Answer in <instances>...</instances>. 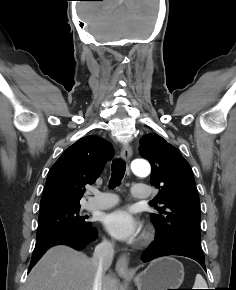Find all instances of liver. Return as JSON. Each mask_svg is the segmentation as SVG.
I'll list each match as a JSON object with an SVG mask.
<instances>
[{
	"mask_svg": "<svg viewBox=\"0 0 236 290\" xmlns=\"http://www.w3.org/2000/svg\"><path fill=\"white\" fill-rule=\"evenodd\" d=\"M96 267L82 252L65 245L50 248L31 270L24 290H93ZM102 290H118L117 280L103 276Z\"/></svg>",
	"mask_w": 236,
	"mask_h": 290,
	"instance_id": "obj_1",
	"label": "liver"
}]
</instances>
